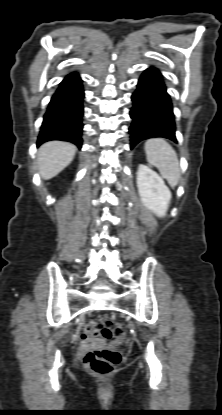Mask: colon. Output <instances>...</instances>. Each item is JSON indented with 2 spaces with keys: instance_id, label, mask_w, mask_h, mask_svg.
Masks as SVG:
<instances>
[{
  "instance_id": "obj_1",
  "label": "colon",
  "mask_w": 222,
  "mask_h": 415,
  "mask_svg": "<svg viewBox=\"0 0 222 415\" xmlns=\"http://www.w3.org/2000/svg\"><path fill=\"white\" fill-rule=\"evenodd\" d=\"M112 320L108 319L104 322H89L82 330L83 339H111L123 338L125 331L122 327L116 326L112 328ZM122 355L118 351L108 349L89 350L84 358V366L93 374L99 376L110 375L120 364Z\"/></svg>"
}]
</instances>
